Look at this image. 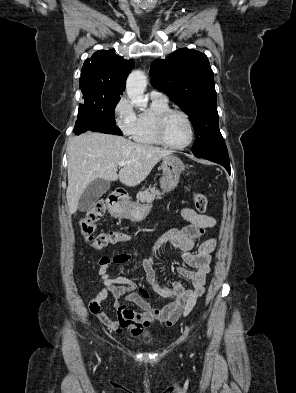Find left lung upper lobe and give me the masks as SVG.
<instances>
[{
  "label": "left lung upper lobe",
  "mask_w": 296,
  "mask_h": 393,
  "mask_svg": "<svg viewBox=\"0 0 296 393\" xmlns=\"http://www.w3.org/2000/svg\"><path fill=\"white\" fill-rule=\"evenodd\" d=\"M151 84L167 94L185 113L195 130L193 153L227 150L219 130L214 74L205 54L180 49L150 68Z\"/></svg>",
  "instance_id": "obj_1"
}]
</instances>
